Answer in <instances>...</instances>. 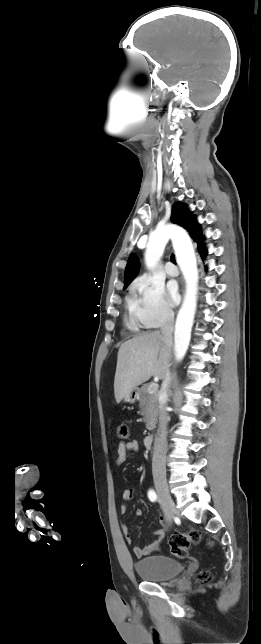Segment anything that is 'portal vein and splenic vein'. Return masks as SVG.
I'll return each mask as SVG.
<instances>
[{
  "mask_svg": "<svg viewBox=\"0 0 261 644\" xmlns=\"http://www.w3.org/2000/svg\"><path fill=\"white\" fill-rule=\"evenodd\" d=\"M157 390H158V384H156V383L150 384L149 387H148V392L150 394L155 393Z\"/></svg>",
  "mask_w": 261,
  "mask_h": 644,
  "instance_id": "18ae733b",
  "label": "portal vein and splenic vein"
}]
</instances>
